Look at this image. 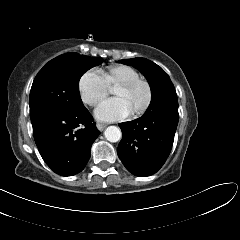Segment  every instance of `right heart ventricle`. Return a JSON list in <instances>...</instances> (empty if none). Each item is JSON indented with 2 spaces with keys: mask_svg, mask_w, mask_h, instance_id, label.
Returning a JSON list of instances; mask_svg holds the SVG:
<instances>
[{
  "mask_svg": "<svg viewBox=\"0 0 240 240\" xmlns=\"http://www.w3.org/2000/svg\"><path fill=\"white\" fill-rule=\"evenodd\" d=\"M101 76L110 87L140 78V73L131 66L118 64L102 71Z\"/></svg>",
  "mask_w": 240,
  "mask_h": 240,
  "instance_id": "obj_1",
  "label": "right heart ventricle"
}]
</instances>
